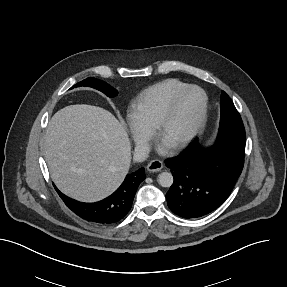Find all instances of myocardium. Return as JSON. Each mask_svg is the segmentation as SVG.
<instances>
[{
    "instance_id": "1",
    "label": "myocardium",
    "mask_w": 287,
    "mask_h": 287,
    "mask_svg": "<svg viewBox=\"0 0 287 287\" xmlns=\"http://www.w3.org/2000/svg\"><path fill=\"white\" fill-rule=\"evenodd\" d=\"M191 91H196L201 95V104L197 118L195 119L192 126L188 129V131L184 134L182 138H180L174 143L166 145L170 150H179L181 148H184L187 144H189L192 141V139L197 135V133L199 132V130L201 129L206 120L207 108H208V98L206 93L198 86L188 85L185 88L176 92L170 99L166 109L164 110L161 118L159 119L155 127L156 139L163 143V135L165 129L175 112L177 103L185 94Z\"/></svg>"
}]
</instances>
